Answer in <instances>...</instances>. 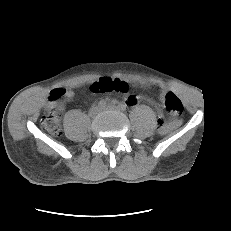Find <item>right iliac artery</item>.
Masks as SVG:
<instances>
[{
    "mask_svg": "<svg viewBox=\"0 0 231 231\" xmlns=\"http://www.w3.org/2000/svg\"><path fill=\"white\" fill-rule=\"evenodd\" d=\"M106 101H104V100H101L99 103H98V106L100 107V108H104V107H106Z\"/></svg>",
    "mask_w": 231,
    "mask_h": 231,
    "instance_id": "obj_1",
    "label": "right iliac artery"
}]
</instances>
